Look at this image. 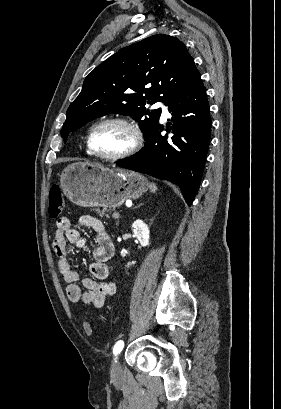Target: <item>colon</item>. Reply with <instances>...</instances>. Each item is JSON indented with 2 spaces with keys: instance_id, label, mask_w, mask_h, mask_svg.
Masks as SVG:
<instances>
[{
  "instance_id": "obj_1",
  "label": "colon",
  "mask_w": 281,
  "mask_h": 409,
  "mask_svg": "<svg viewBox=\"0 0 281 409\" xmlns=\"http://www.w3.org/2000/svg\"><path fill=\"white\" fill-rule=\"evenodd\" d=\"M64 208V200L62 194V187L59 184L52 185L50 188L49 213L51 216H59ZM87 335L93 334V329L88 322L83 324Z\"/></svg>"
}]
</instances>
